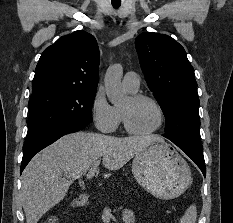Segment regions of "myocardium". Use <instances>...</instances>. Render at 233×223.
Wrapping results in <instances>:
<instances>
[{"label": "myocardium", "instance_id": "myocardium-1", "mask_svg": "<svg viewBox=\"0 0 233 223\" xmlns=\"http://www.w3.org/2000/svg\"><path fill=\"white\" fill-rule=\"evenodd\" d=\"M129 99L131 101H134V102L150 101L151 103H153L154 106L156 107V109L158 110L160 122H159V125L155 129H153L152 131L137 132L131 128L125 112L121 110V112H120L121 120H122L123 126L128 134L135 136V137H148V136H152V135L159 133L164 128L165 122H166V114H165V111H164L162 105L160 104V102L157 99H155L154 97H152L150 95L138 94V93L132 94L129 97Z\"/></svg>", "mask_w": 233, "mask_h": 223}]
</instances>
